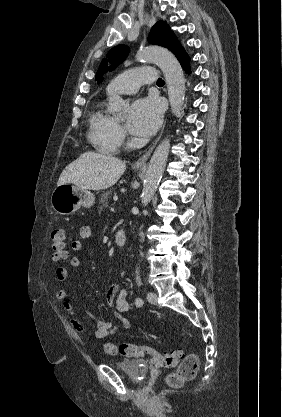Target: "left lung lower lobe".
I'll list each match as a JSON object with an SVG mask.
<instances>
[{"mask_svg": "<svg viewBox=\"0 0 282 417\" xmlns=\"http://www.w3.org/2000/svg\"><path fill=\"white\" fill-rule=\"evenodd\" d=\"M173 53L175 54V56L181 63L183 69L187 72H190V66H189L190 59L188 55L186 54V52L184 51L183 47L179 46L173 51Z\"/></svg>", "mask_w": 282, "mask_h": 417, "instance_id": "left-lung-lower-lobe-1", "label": "left lung lower lobe"}]
</instances>
